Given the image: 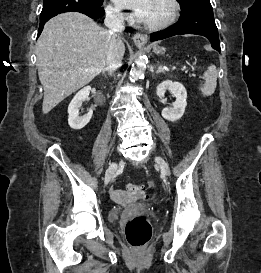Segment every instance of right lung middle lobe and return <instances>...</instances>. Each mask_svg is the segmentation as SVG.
I'll use <instances>...</instances> for the list:
<instances>
[{"label":"right lung middle lobe","mask_w":261,"mask_h":273,"mask_svg":"<svg viewBox=\"0 0 261 273\" xmlns=\"http://www.w3.org/2000/svg\"><path fill=\"white\" fill-rule=\"evenodd\" d=\"M89 1H94V2H97V3H103V0H89ZM46 9H51L50 7H46Z\"/></svg>","instance_id":"dd1d6c3e"}]
</instances>
